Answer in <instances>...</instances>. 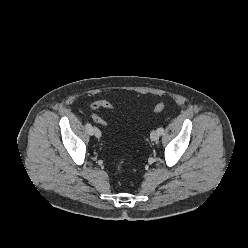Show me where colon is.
I'll list each match as a JSON object with an SVG mask.
<instances>
[{
  "label": "colon",
  "mask_w": 248,
  "mask_h": 248,
  "mask_svg": "<svg viewBox=\"0 0 248 248\" xmlns=\"http://www.w3.org/2000/svg\"><path fill=\"white\" fill-rule=\"evenodd\" d=\"M165 107H166V103L165 102H159V103H157L154 106L153 111L155 113H159V112L163 111L165 109ZM91 108L94 111H96L98 109H101V108H103V109H110L111 110V109H114V105L111 102H109V101L99 100V101L94 102L91 105ZM92 118H93V120L96 123H98V124H100L102 126H106L107 125V122L102 117L98 116L95 113L92 114ZM120 167H121V164H119L118 169H120Z\"/></svg>",
  "instance_id": "colon-1"
}]
</instances>
